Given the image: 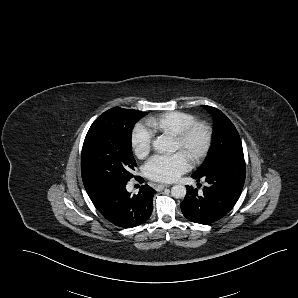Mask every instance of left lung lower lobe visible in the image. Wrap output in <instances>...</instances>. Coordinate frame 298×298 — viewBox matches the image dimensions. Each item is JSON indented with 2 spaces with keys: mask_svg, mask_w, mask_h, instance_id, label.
<instances>
[{
  "mask_svg": "<svg viewBox=\"0 0 298 298\" xmlns=\"http://www.w3.org/2000/svg\"><path fill=\"white\" fill-rule=\"evenodd\" d=\"M244 158H237L204 172L194 173L193 178L208 183L203 193L186 186L187 194L181 203L183 215L199 224H210L225 216L237 202L245 182ZM199 185V183H198Z\"/></svg>",
  "mask_w": 298,
  "mask_h": 298,
  "instance_id": "left-lung-lower-lobe-1",
  "label": "left lung lower lobe"
}]
</instances>
